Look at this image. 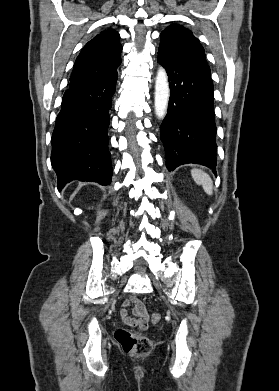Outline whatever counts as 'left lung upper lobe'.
I'll return each instance as SVG.
<instances>
[{"mask_svg":"<svg viewBox=\"0 0 279 391\" xmlns=\"http://www.w3.org/2000/svg\"><path fill=\"white\" fill-rule=\"evenodd\" d=\"M160 40L159 50L162 53L210 77L204 48L192 31L181 25L172 24L161 33Z\"/></svg>","mask_w":279,"mask_h":391,"instance_id":"5c2ea615","label":"left lung upper lobe"}]
</instances>
